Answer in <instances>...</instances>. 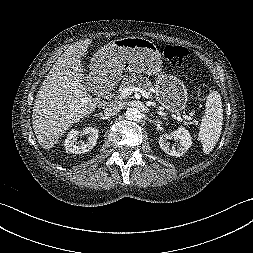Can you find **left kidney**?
Instances as JSON below:
<instances>
[{
	"label": "left kidney",
	"instance_id": "5707ae66",
	"mask_svg": "<svg viewBox=\"0 0 253 253\" xmlns=\"http://www.w3.org/2000/svg\"><path fill=\"white\" fill-rule=\"evenodd\" d=\"M174 138L180 145L175 148L174 146L170 147L168 140ZM192 138L190 133L184 127L178 128V130L173 131L169 134H163L159 138L160 148L168 155L180 157L191 147Z\"/></svg>",
	"mask_w": 253,
	"mask_h": 253
}]
</instances>
